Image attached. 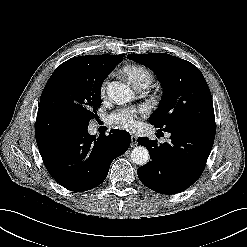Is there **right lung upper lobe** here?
Segmentation results:
<instances>
[{
    "label": "right lung upper lobe",
    "instance_id": "1",
    "mask_svg": "<svg viewBox=\"0 0 247 247\" xmlns=\"http://www.w3.org/2000/svg\"><path fill=\"white\" fill-rule=\"evenodd\" d=\"M80 57L100 71L108 74L115 65L123 60L124 55H89Z\"/></svg>",
    "mask_w": 247,
    "mask_h": 247
}]
</instances>
